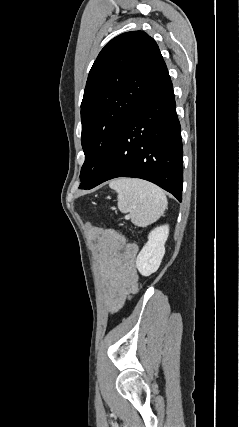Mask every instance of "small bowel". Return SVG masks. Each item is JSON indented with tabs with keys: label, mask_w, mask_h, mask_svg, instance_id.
<instances>
[{
	"label": "small bowel",
	"mask_w": 239,
	"mask_h": 427,
	"mask_svg": "<svg viewBox=\"0 0 239 427\" xmlns=\"http://www.w3.org/2000/svg\"><path fill=\"white\" fill-rule=\"evenodd\" d=\"M89 234L99 251L106 305L111 312H116L138 290L137 246L111 229L93 227Z\"/></svg>",
	"instance_id": "small-bowel-1"
}]
</instances>
